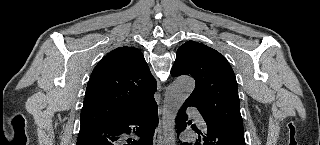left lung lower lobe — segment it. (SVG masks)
Segmentation results:
<instances>
[{"label":"left lung lower lobe","mask_w":320,"mask_h":145,"mask_svg":"<svg viewBox=\"0 0 320 145\" xmlns=\"http://www.w3.org/2000/svg\"><path fill=\"white\" fill-rule=\"evenodd\" d=\"M193 106L190 102L185 101L182 109L178 112L176 118V127L178 130L183 131L186 129L190 122H186L188 119L185 113L186 108ZM207 129L199 131L197 128H193L198 134V138L183 143L182 145H245L244 131L239 130L228 125H221L210 123L206 121Z\"/></svg>","instance_id":"1"}]
</instances>
